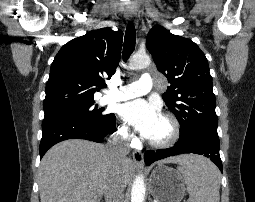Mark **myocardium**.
<instances>
[{"label": "myocardium", "mask_w": 255, "mask_h": 202, "mask_svg": "<svg viewBox=\"0 0 255 202\" xmlns=\"http://www.w3.org/2000/svg\"><path fill=\"white\" fill-rule=\"evenodd\" d=\"M161 117L169 124L170 133L167 138L153 140L146 138V142L153 148H168L173 146L180 138L181 127L177 118L171 113H163Z\"/></svg>", "instance_id": "obj_1"}]
</instances>
